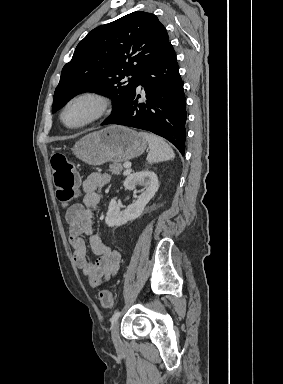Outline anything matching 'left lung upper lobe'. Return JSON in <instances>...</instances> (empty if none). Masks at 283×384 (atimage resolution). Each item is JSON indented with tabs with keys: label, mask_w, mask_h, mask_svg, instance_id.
<instances>
[{
	"label": "left lung upper lobe",
	"mask_w": 283,
	"mask_h": 384,
	"mask_svg": "<svg viewBox=\"0 0 283 384\" xmlns=\"http://www.w3.org/2000/svg\"><path fill=\"white\" fill-rule=\"evenodd\" d=\"M169 37L158 18L135 11L90 31L61 73L52 113L75 95L93 91L113 100L109 120L126 108L135 84L163 52ZM132 76L129 81H122Z\"/></svg>",
	"instance_id": "1"
}]
</instances>
